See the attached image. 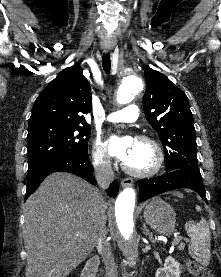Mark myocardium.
Listing matches in <instances>:
<instances>
[{
    "label": "myocardium",
    "instance_id": "1",
    "mask_svg": "<svg viewBox=\"0 0 221 277\" xmlns=\"http://www.w3.org/2000/svg\"><path fill=\"white\" fill-rule=\"evenodd\" d=\"M136 140L139 142L148 144L153 149L154 154H155L154 164L151 168H149L147 170H135V169L130 168L123 162L122 169L127 174L137 177V178H147V177L154 176L155 174H157L160 171V169L162 168L163 162H164V154H163L162 148L155 139H153L149 136H146V135H140L136 138Z\"/></svg>",
    "mask_w": 221,
    "mask_h": 277
}]
</instances>
